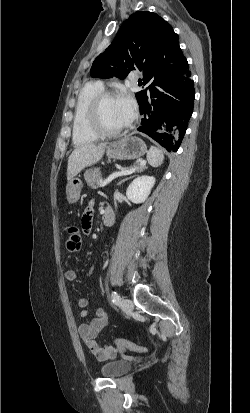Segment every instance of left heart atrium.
<instances>
[{
	"instance_id": "39dd6f15",
	"label": "left heart atrium",
	"mask_w": 250,
	"mask_h": 413,
	"mask_svg": "<svg viewBox=\"0 0 250 413\" xmlns=\"http://www.w3.org/2000/svg\"><path fill=\"white\" fill-rule=\"evenodd\" d=\"M116 100L126 124H129L136 116V104L133 97L129 93H122Z\"/></svg>"
}]
</instances>
